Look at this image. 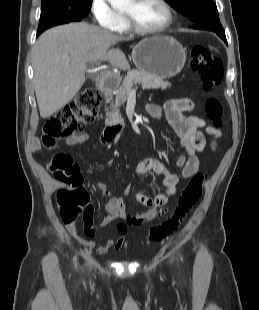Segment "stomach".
I'll use <instances>...</instances> for the list:
<instances>
[{
	"instance_id": "1",
	"label": "stomach",
	"mask_w": 259,
	"mask_h": 310,
	"mask_svg": "<svg viewBox=\"0 0 259 310\" xmlns=\"http://www.w3.org/2000/svg\"><path fill=\"white\" fill-rule=\"evenodd\" d=\"M132 60L139 71L166 79L181 72L186 52L174 38L154 36L143 39L133 48Z\"/></svg>"
}]
</instances>
